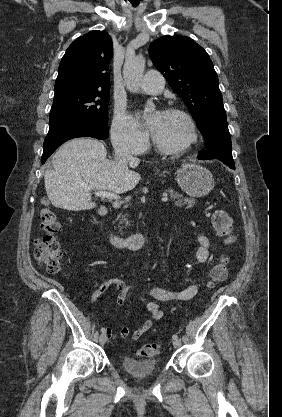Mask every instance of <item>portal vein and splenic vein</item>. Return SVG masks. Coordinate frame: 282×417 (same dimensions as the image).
<instances>
[{
  "label": "portal vein and splenic vein",
  "instance_id": "1",
  "mask_svg": "<svg viewBox=\"0 0 282 417\" xmlns=\"http://www.w3.org/2000/svg\"><path fill=\"white\" fill-rule=\"evenodd\" d=\"M95 194H97V196H102V198H110V200H118V198H120L119 194H115V192H107V190H96ZM161 200L165 203L173 202V199L167 198V196H163Z\"/></svg>",
  "mask_w": 282,
  "mask_h": 417
}]
</instances>
